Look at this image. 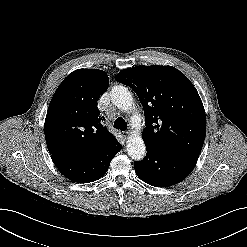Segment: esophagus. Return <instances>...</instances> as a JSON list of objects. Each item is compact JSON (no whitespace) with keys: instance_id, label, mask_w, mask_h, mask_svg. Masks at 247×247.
I'll use <instances>...</instances> for the list:
<instances>
[{"instance_id":"34e87169","label":"esophagus","mask_w":247,"mask_h":247,"mask_svg":"<svg viewBox=\"0 0 247 247\" xmlns=\"http://www.w3.org/2000/svg\"><path fill=\"white\" fill-rule=\"evenodd\" d=\"M130 131H124L121 133L122 137L125 138V139H128V137L130 136Z\"/></svg>"}]
</instances>
